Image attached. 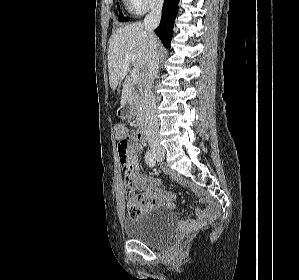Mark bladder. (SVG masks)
Masks as SVG:
<instances>
[{
	"label": "bladder",
	"mask_w": 299,
	"mask_h": 280,
	"mask_svg": "<svg viewBox=\"0 0 299 280\" xmlns=\"http://www.w3.org/2000/svg\"><path fill=\"white\" fill-rule=\"evenodd\" d=\"M176 225V217L165 209H152L137 218H127L123 222L128 238L154 247L168 242Z\"/></svg>",
	"instance_id": "1"
}]
</instances>
